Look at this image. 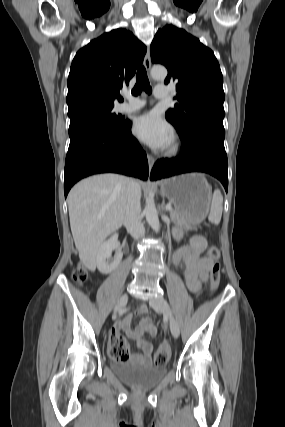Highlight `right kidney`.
<instances>
[{"label":"right kidney","instance_id":"obj_1","mask_svg":"<svg viewBox=\"0 0 285 427\" xmlns=\"http://www.w3.org/2000/svg\"><path fill=\"white\" fill-rule=\"evenodd\" d=\"M116 250V255L110 261L111 252ZM123 257L122 249L118 241V234H113L108 240L103 242L96 256V264L98 270L102 274H109L118 267Z\"/></svg>","mask_w":285,"mask_h":427}]
</instances>
